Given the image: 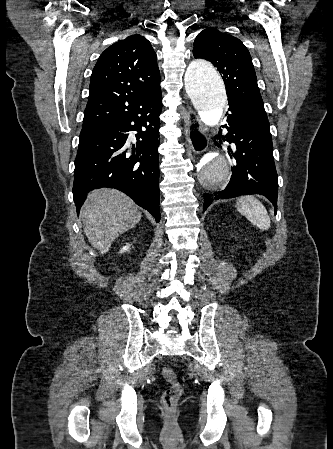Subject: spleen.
Here are the masks:
<instances>
[{
    "instance_id": "1",
    "label": "spleen",
    "mask_w": 333,
    "mask_h": 449,
    "mask_svg": "<svg viewBox=\"0 0 333 449\" xmlns=\"http://www.w3.org/2000/svg\"><path fill=\"white\" fill-rule=\"evenodd\" d=\"M237 209L253 225L262 230L270 227V217L264 205L254 196H242L237 200Z\"/></svg>"
}]
</instances>
